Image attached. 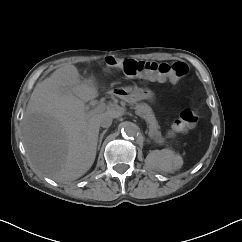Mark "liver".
I'll list each match as a JSON object with an SVG mask.
<instances>
[{"label": "liver", "instance_id": "obj_1", "mask_svg": "<svg viewBox=\"0 0 242 242\" xmlns=\"http://www.w3.org/2000/svg\"><path fill=\"white\" fill-rule=\"evenodd\" d=\"M98 97V88L80 79L71 64L38 83L23 118L22 134L35 171L57 182L82 177L93 165L103 113H87L85 103ZM104 113L112 118L121 108Z\"/></svg>", "mask_w": 242, "mask_h": 242}]
</instances>
